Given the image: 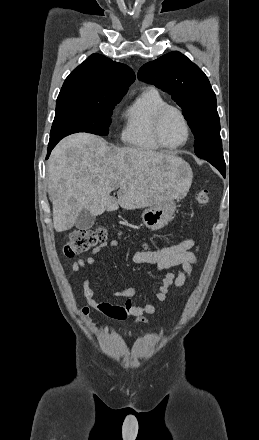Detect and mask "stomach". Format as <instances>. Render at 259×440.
<instances>
[{
    "label": "stomach",
    "mask_w": 259,
    "mask_h": 440,
    "mask_svg": "<svg viewBox=\"0 0 259 440\" xmlns=\"http://www.w3.org/2000/svg\"><path fill=\"white\" fill-rule=\"evenodd\" d=\"M175 210V202L168 200L145 209L141 218L148 229L160 230L171 221Z\"/></svg>",
    "instance_id": "0dacf381"
}]
</instances>
